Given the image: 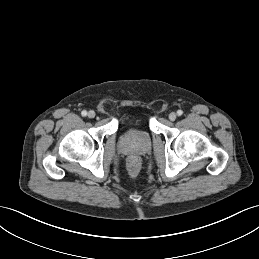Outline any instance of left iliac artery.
Listing matches in <instances>:
<instances>
[{
    "label": "left iliac artery",
    "instance_id": "1",
    "mask_svg": "<svg viewBox=\"0 0 259 259\" xmlns=\"http://www.w3.org/2000/svg\"><path fill=\"white\" fill-rule=\"evenodd\" d=\"M177 114H178V116H181L183 114V111L182 110H178Z\"/></svg>",
    "mask_w": 259,
    "mask_h": 259
}]
</instances>
